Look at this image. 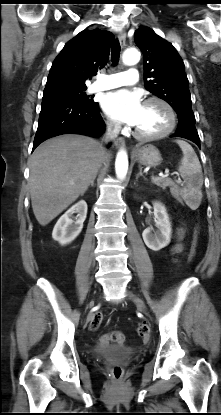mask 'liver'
I'll use <instances>...</instances> for the list:
<instances>
[{"label":"liver","mask_w":221,"mask_h":415,"mask_svg":"<svg viewBox=\"0 0 221 415\" xmlns=\"http://www.w3.org/2000/svg\"><path fill=\"white\" fill-rule=\"evenodd\" d=\"M90 137L66 134L48 139L30 159L29 187L34 215L42 226L83 195L109 157Z\"/></svg>","instance_id":"obj_1"}]
</instances>
